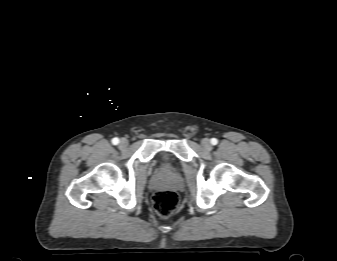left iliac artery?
Here are the masks:
<instances>
[{"label": "left iliac artery", "instance_id": "1", "mask_svg": "<svg viewBox=\"0 0 337 261\" xmlns=\"http://www.w3.org/2000/svg\"><path fill=\"white\" fill-rule=\"evenodd\" d=\"M218 143V140L216 138L211 139V144L216 145Z\"/></svg>", "mask_w": 337, "mask_h": 261}]
</instances>
